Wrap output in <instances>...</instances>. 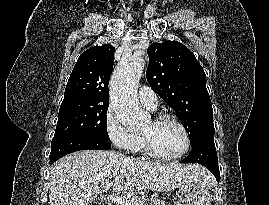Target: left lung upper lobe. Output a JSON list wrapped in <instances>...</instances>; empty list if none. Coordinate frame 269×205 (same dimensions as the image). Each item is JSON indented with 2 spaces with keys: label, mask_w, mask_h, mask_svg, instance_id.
<instances>
[{
  "label": "left lung upper lobe",
  "mask_w": 269,
  "mask_h": 205,
  "mask_svg": "<svg viewBox=\"0 0 269 205\" xmlns=\"http://www.w3.org/2000/svg\"><path fill=\"white\" fill-rule=\"evenodd\" d=\"M147 53V80L177 113L192 144L204 134L214 132L206 75L195 55L177 41L152 44Z\"/></svg>",
  "instance_id": "left-lung-upper-lobe-1"
}]
</instances>
